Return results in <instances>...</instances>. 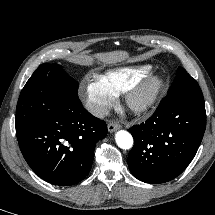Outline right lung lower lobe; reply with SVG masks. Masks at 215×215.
I'll use <instances>...</instances> for the list:
<instances>
[{
    "label": "right lung lower lobe",
    "mask_w": 215,
    "mask_h": 215,
    "mask_svg": "<svg viewBox=\"0 0 215 215\" xmlns=\"http://www.w3.org/2000/svg\"><path fill=\"white\" fill-rule=\"evenodd\" d=\"M106 135V123L84 109L76 93L58 102L17 138L26 162L40 178L69 186L87 176L95 144Z\"/></svg>",
    "instance_id": "1"
}]
</instances>
